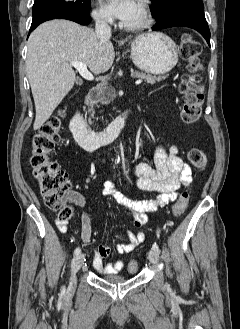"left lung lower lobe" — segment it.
<instances>
[{
	"instance_id": "obj_1",
	"label": "left lung lower lobe",
	"mask_w": 240,
	"mask_h": 329,
	"mask_svg": "<svg viewBox=\"0 0 240 329\" xmlns=\"http://www.w3.org/2000/svg\"><path fill=\"white\" fill-rule=\"evenodd\" d=\"M190 27L202 34L210 45V30L205 19L204 10L195 8H177L164 15L153 26V30L168 27Z\"/></svg>"
}]
</instances>
